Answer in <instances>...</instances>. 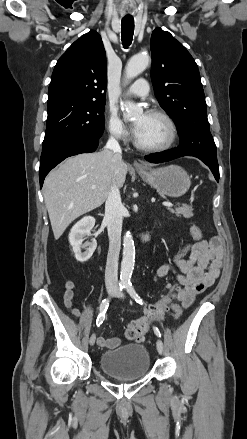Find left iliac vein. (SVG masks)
I'll return each mask as SVG.
<instances>
[{"mask_svg": "<svg viewBox=\"0 0 247 439\" xmlns=\"http://www.w3.org/2000/svg\"><path fill=\"white\" fill-rule=\"evenodd\" d=\"M116 296H117L118 298H123V297H124V294H123V293H117ZM156 347H157V351H158V353H159V354H162V353H163V350H164V347H163V342H162L160 339L157 340V342H156Z\"/></svg>", "mask_w": 247, "mask_h": 439, "instance_id": "4c4485c4", "label": "left iliac vein"}]
</instances>
